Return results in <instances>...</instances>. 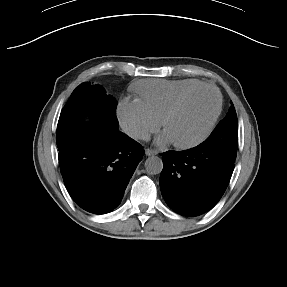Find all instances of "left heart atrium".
<instances>
[{"label":"left heart atrium","mask_w":287,"mask_h":287,"mask_svg":"<svg viewBox=\"0 0 287 287\" xmlns=\"http://www.w3.org/2000/svg\"><path fill=\"white\" fill-rule=\"evenodd\" d=\"M158 142H159L160 144H167V143H171V142H173V141H172V139L170 138V136H169L166 132H164V133L159 137Z\"/></svg>","instance_id":"obj_1"}]
</instances>
